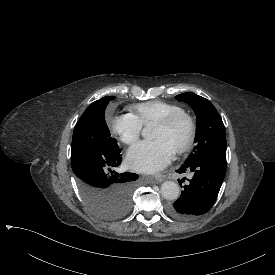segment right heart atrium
<instances>
[{
	"mask_svg": "<svg viewBox=\"0 0 275 275\" xmlns=\"http://www.w3.org/2000/svg\"><path fill=\"white\" fill-rule=\"evenodd\" d=\"M110 130L124 145L132 148L140 140L142 124L133 115H120L111 120Z\"/></svg>",
	"mask_w": 275,
	"mask_h": 275,
	"instance_id": "right-heart-atrium-1",
	"label": "right heart atrium"
}]
</instances>
